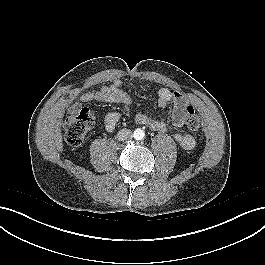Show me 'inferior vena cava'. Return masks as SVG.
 <instances>
[{
	"label": "inferior vena cava",
	"instance_id": "obj_1",
	"mask_svg": "<svg viewBox=\"0 0 265 265\" xmlns=\"http://www.w3.org/2000/svg\"><path fill=\"white\" fill-rule=\"evenodd\" d=\"M133 137L131 130L129 129H122L117 133V140L118 141H125L129 140Z\"/></svg>",
	"mask_w": 265,
	"mask_h": 265
}]
</instances>
